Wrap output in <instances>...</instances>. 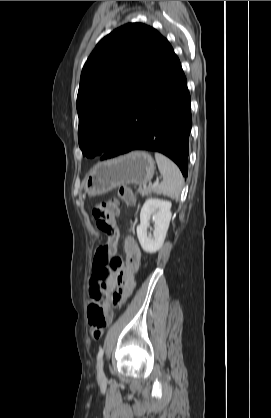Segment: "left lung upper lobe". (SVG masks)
I'll return each mask as SVG.
<instances>
[{
	"mask_svg": "<svg viewBox=\"0 0 271 418\" xmlns=\"http://www.w3.org/2000/svg\"><path fill=\"white\" fill-rule=\"evenodd\" d=\"M172 47L154 28L128 23L105 36L87 59L77 96L82 153L106 151Z\"/></svg>",
	"mask_w": 271,
	"mask_h": 418,
	"instance_id": "1",
	"label": "left lung upper lobe"
}]
</instances>
